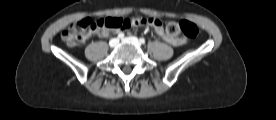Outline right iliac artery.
Returning a JSON list of instances; mask_svg holds the SVG:
<instances>
[{
  "instance_id": "obj_1",
  "label": "right iliac artery",
  "mask_w": 276,
  "mask_h": 120,
  "mask_svg": "<svg viewBox=\"0 0 276 120\" xmlns=\"http://www.w3.org/2000/svg\"><path fill=\"white\" fill-rule=\"evenodd\" d=\"M119 39H122V38H124V33H122V32H120L119 34H118V36H117Z\"/></svg>"
}]
</instances>
